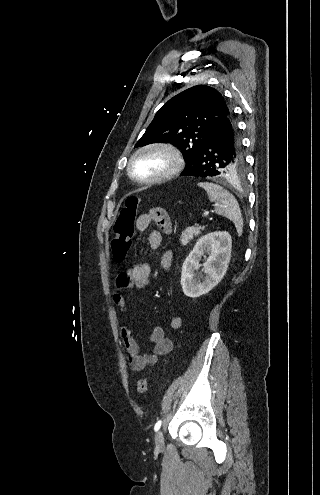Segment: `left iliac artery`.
Wrapping results in <instances>:
<instances>
[{
  "label": "left iliac artery",
  "mask_w": 320,
  "mask_h": 495,
  "mask_svg": "<svg viewBox=\"0 0 320 495\" xmlns=\"http://www.w3.org/2000/svg\"><path fill=\"white\" fill-rule=\"evenodd\" d=\"M160 427H161V420H159V421L155 424V426H154V430H155V431H158V430L160 429Z\"/></svg>",
  "instance_id": "left-iliac-artery-1"
}]
</instances>
